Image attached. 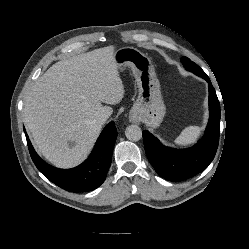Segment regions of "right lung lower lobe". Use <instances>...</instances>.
I'll use <instances>...</instances> for the list:
<instances>
[{
    "label": "right lung lower lobe",
    "instance_id": "right-lung-lower-lobe-1",
    "mask_svg": "<svg viewBox=\"0 0 249 249\" xmlns=\"http://www.w3.org/2000/svg\"><path fill=\"white\" fill-rule=\"evenodd\" d=\"M31 158L38 170L57 186L71 192H86L99 187L105 180L112 161L117 138L114 122L102 131L90 156L79 166L71 169L55 168L44 162L35 152L25 131Z\"/></svg>",
    "mask_w": 249,
    "mask_h": 249
}]
</instances>
